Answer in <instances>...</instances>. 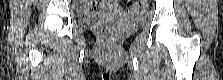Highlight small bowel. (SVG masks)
Listing matches in <instances>:
<instances>
[{
    "label": "small bowel",
    "instance_id": "c3829d8e",
    "mask_svg": "<svg viewBox=\"0 0 223 80\" xmlns=\"http://www.w3.org/2000/svg\"><path fill=\"white\" fill-rule=\"evenodd\" d=\"M117 6L116 1L95 2L92 4L91 9L93 11H100L106 9H116Z\"/></svg>",
    "mask_w": 223,
    "mask_h": 80
}]
</instances>
